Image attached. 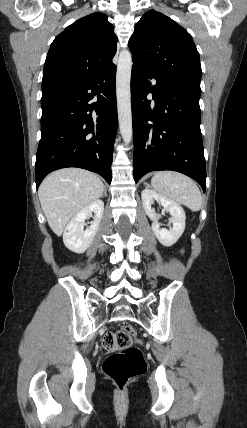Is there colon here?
<instances>
[{"label":"colon","instance_id":"5ec220e1","mask_svg":"<svg viewBox=\"0 0 247 428\" xmlns=\"http://www.w3.org/2000/svg\"><path fill=\"white\" fill-rule=\"evenodd\" d=\"M135 339L136 331L131 325L103 336V347L114 351L105 359L103 371L120 389L145 371L143 354L133 345Z\"/></svg>","mask_w":247,"mask_h":428}]
</instances>
